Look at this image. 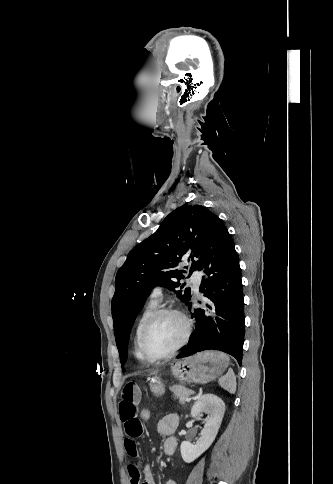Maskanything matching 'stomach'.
I'll use <instances>...</instances> for the list:
<instances>
[{
  "label": "stomach",
  "instance_id": "1",
  "mask_svg": "<svg viewBox=\"0 0 333 484\" xmlns=\"http://www.w3.org/2000/svg\"><path fill=\"white\" fill-rule=\"evenodd\" d=\"M229 365V358L219 351H205L177 360L171 366L172 375L181 383H207L221 376ZM149 385L156 395L164 392L161 374L149 373Z\"/></svg>",
  "mask_w": 333,
  "mask_h": 484
}]
</instances>
